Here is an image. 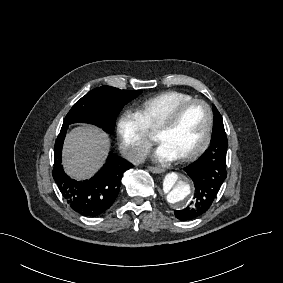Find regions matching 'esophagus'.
<instances>
[{"label": "esophagus", "mask_w": 283, "mask_h": 283, "mask_svg": "<svg viewBox=\"0 0 283 283\" xmlns=\"http://www.w3.org/2000/svg\"><path fill=\"white\" fill-rule=\"evenodd\" d=\"M148 169H149L152 173H162V172H164V169L161 168V167L149 166Z\"/></svg>", "instance_id": "1"}]
</instances>
